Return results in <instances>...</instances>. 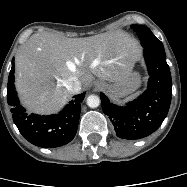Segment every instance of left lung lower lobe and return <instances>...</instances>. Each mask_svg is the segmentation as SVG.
I'll list each match as a JSON object with an SVG mask.
<instances>
[{"instance_id":"obj_1","label":"left lung lower lobe","mask_w":187,"mask_h":187,"mask_svg":"<svg viewBox=\"0 0 187 187\" xmlns=\"http://www.w3.org/2000/svg\"><path fill=\"white\" fill-rule=\"evenodd\" d=\"M144 57L150 77L147 89L137 99L117 106L100 93L103 112L109 116L117 136L123 139H141L152 134L170 107L172 80L165 52L144 48Z\"/></svg>"}]
</instances>
